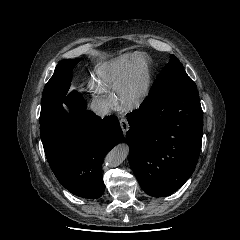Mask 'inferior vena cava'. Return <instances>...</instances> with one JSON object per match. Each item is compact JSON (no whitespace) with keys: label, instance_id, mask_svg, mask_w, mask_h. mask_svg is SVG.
<instances>
[{"label":"inferior vena cava","instance_id":"inferior-vena-cava-1","mask_svg":"<svg viewBox=\"0 0 240 240\" xmlns=\"http://www.w3.org/2000/svg\"><path fill=\"white\" fill-rule=\"evenodd\" d=\"M90 107L91 110L100 117L106 116L110 111L109 104L103 99H94Z\"/></svg>","mask_w":240,"mask_h":240}]
</instances>
